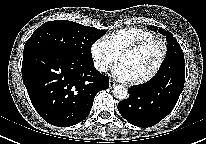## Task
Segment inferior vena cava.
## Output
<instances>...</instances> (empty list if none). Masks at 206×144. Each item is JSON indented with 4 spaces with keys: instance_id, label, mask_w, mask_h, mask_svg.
Listing matches in <instances>:
<instances>
[{
    "instance_id": "1",
    "label": "inferior vena cava",
    "mask_w": 206,
    "mask_h": 144,
    "mask_svg": "<svg viewBox=\"0 0 206 144\" xmlns=\"http://www.w3.org/2000/svg\"><path fill=\"white\" fill-rule=\"evenodd\" d=\"M99 71H101V72H105V71H106L105 66H100V67H99Z\"/></svg>"
}]
</instances>
